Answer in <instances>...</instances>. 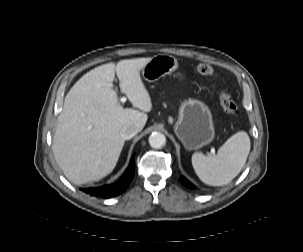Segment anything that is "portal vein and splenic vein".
Returning a JSON list of instances; mask_svg holds the SVG:
<instances>
[{
  "label": "portal vein and splenic vein",
  "instance_id": "18ae733b",
  "mask_svg": "<svg viewBox=\"0 0 303 252\" xmlns=\"http://www.w3.org/2000/svg\"><path fill=\"white\" fill-rule=\"evenodd\" d=\"M126 100H127V98H126V97H122V98H121V102H122V103H125V102H126ZM211 152H212V153H214V150H212Z\"/></svg>",
  "mask_w": 303,
  "mask_h": 252
}]
</instances>
